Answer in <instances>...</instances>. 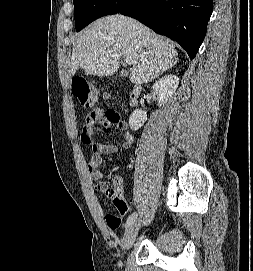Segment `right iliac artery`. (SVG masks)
<instances>
[{
	"mask_svg": "<svg viewBox=\"0 0 253 271\" xmlns=\"http://www.w3.org/2000/svg\"><path fill=\"white\" fill-rule=\"evenodd\" d=\"M136 218L137 213L136 212L132 213L127 219L126 226L130 225L133 221H135Z\"/></svg>",
	"mask_w": 253,
	"mask_h": 271,
	"instance_id": "obj_1",
	"label": "right iliac artery"
}]
</instances>
